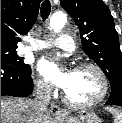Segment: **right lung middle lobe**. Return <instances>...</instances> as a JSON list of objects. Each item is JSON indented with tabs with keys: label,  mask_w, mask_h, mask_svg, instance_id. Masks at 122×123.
<instances>
[{
	"label": "right lung middle lobe",
	"mask_w": 122,
	"mask_h": 123,
	"mask_svg": "<svg viewBox=\"0 0 122 123\" xmlns=\"http://www.w3.org/2000/svg\"><path fill=\"white\" fill-rule=\"evenodd\" d=\"M1 61L6 62L10 65L18 67L20 69L30 70L31 67L24 64L21 57L17 56L16 49H1Z\"/></svg>",
	"instance_id": "right-lung-middle-lobe-1"
}]
</instances>
